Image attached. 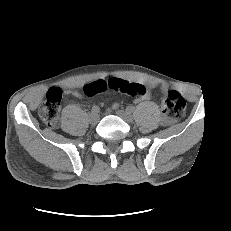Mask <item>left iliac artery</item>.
<instances>
[{
  "label": "left iliac artery",
  "instance_id": "44dca946",
  "mask_svg": "<svg viewBox=\"0 0 231 231\" xmlns=\"http://www.w3.org/2000/svg\"><path fill=\"white\" fill-rule=\"evenodd\" d=\"M134 110H135V108H134L133 106H128V107L126 108V111L129 112V113L134 112Z\"/></svg>",
  "mask_w": 231,
  "mask_h": 231
}]
</instances>
